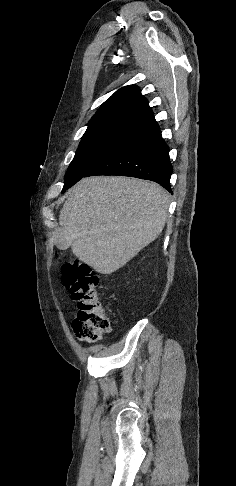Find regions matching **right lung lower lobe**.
<instances>
[{
	"label": "right lung lower lobe",
	"mask_w": 236,
	"mask_h": 486,
	"mask_svg": "<svg viewBox=\"0 0 236 486\" xmlns=\"http://www.w3.org/2000/svg\"><path fill=\"white\" fill-rule=\"evenodd\" d=\"M173 168L169 147L164 142L160 128L150 116L136 135L126 144L94 167L85 177L94 175H119L154 181L171 191L170 177Z\"/></svg>",
	"instance_id": "right-lung-lower-lobe-1"
}]
</instances>
